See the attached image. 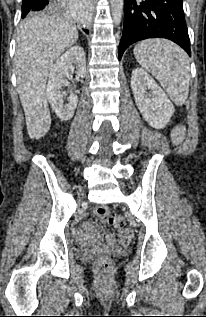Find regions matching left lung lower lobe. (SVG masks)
<instances>
[{"label":"left lung lower lobe","mask_w":206,"mask_h":317,"mask_svg":"<svg viewBox=\"0 0 206 317\" xmlns=\"http://www.w3.org/2000/svg\"><path fill=\"white\" fill-rule=\"evenodd\" d=\"M155 37L172 40L191 55L182 0H124L119 59L131 44Z\"/></svg>","instance_id":"obj_1"}]
</instances>
